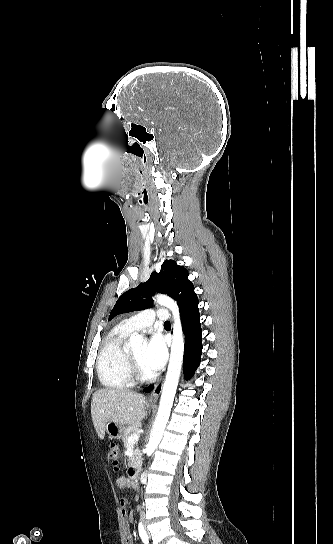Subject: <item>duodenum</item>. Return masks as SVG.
<instances>
[{"instance_id": "duodenum-1", "label": "duodenum", "mask_w": 333, "mask_h": 544, "mask_svg": "<svg viewBox=\"0 0 333 544\" xmlns=\"http://www.w3.org/2000/svg\"><path fill=\"white\" fill-rule=\"evenodd\" d=\"M127 473H128V476H129L130 479L135 480L139 475L138 466L135 465V464L130 465L129 468H128Z\"/></svg>"}]
</instances>
